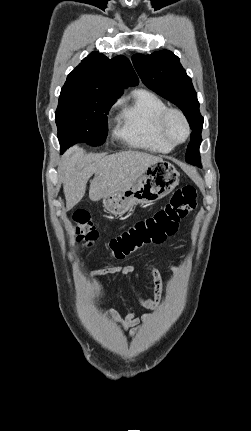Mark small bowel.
<instances>
[{"instance_id": "obj_1", "label": "small bowel", "mask_w": 251, "mask_h": 431, "mask_svg": "<svg viewBox=\"0 0 251 431\" xmlns=\"http://www.w3.org/2000/svg\"><path fill=\"white\" fill-rule=\"evenodd\" d=\"M176 268V265H172ZM147 269L153 277L154 287L152 291V297L142 298L137 297V306L148 310L142 316H138L134 310L129 311L126 315L122 316L117 311L110 309L106 312L113 321L128 332L130 336H134L140 328V323L148 322L152 318V312L159 308L161 297H162V278L159 271L152 265L147 264ZM119 274L122 277L133 276L135 279L139 278V274L133 265L121 264L115 266H109L95 270L91 273V277H103L107 275Z\"/></svg>"}]
</instances>
